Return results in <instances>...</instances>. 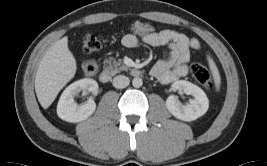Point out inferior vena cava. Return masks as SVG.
<instances>
[{"label":"inferior vena cava","instance_id":"602c4592","mask_svg":"<svg viewBox=\"0 0 267 166\" xmlns=\"http://www.w3.org/2000/svg\"><path fill=\"white\" fill-rule=\"evenodd\" d=\"M129 78L124 75H118L113 79V86L117 89L125 88L129 85Z\"/></svg>","mask_w":267,"mask_h":166}]
</instances>
